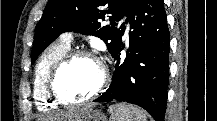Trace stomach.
<instances>
[{"mask_svg":"<svg viewBox=\"0 0 217 121\" xmlns=\"http://www.w3.org/2000/svg\"><path fill=\"white\" fill-rule=\"evenodd\" d=\"M83 121H107V118L101 111L95 110L87 113Z\"/></svg>","mask_w":217,"mask_h":121,"instance_id":"stomach-1","label":"stomach"}]
</instances>
